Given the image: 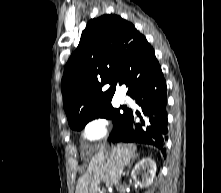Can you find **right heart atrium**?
Masks as SVG:
<instances>
[{"label": "right heart atrium", "instance_id": "d8ad5b80", "mask_svg": "<svg viewBox=\"0 0 221 193\" xmlns=\"http://www.w3.org/2000/svg\"><path fill=\"white\" fill-rule=\"evenodd\" d=\"M108 127L109 124L106 118L96 117L86 124L83 135L89 142H97L106 136Z\"/></svg>", "mask_w": 221, "mask_h": 193}]
</instances>
